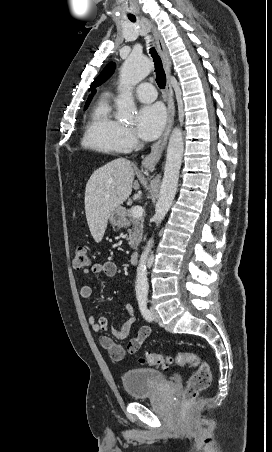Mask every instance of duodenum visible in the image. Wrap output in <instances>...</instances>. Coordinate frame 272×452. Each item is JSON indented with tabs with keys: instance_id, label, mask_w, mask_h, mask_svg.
Returning <instances> with one entry per match:
<instances>
[{
	"instance_id": "1",
	"label": "duodenum",
	"mask_w": 272,
	"mask_h": 452,
	"mask_svg": "<svg viewBox=\"0 0 272 452\" xmlns=\"http://www.w3.org/2000/svg\"><path fill=\"white\" fill-rule=\"evenodd\" d=\"M138 259H139V251L133 250L130 254V262L132 264H135V263H137Z\"/></svg>"
}]
</instances>
